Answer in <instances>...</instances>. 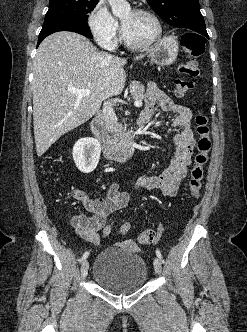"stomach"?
Returning a JSON list of instances; mask_svg holds the SVG:
<instances>
[{
  "instance_id": "0dacf381",
  "label": "stomach",
  "mask_w": 247,
  "mask_h": 332,
  "mask_svg": "<svg viewBox=\"0 0 247 332\" xmlns=\"http://www.w3.org/2000/svg\"><path fill=\"white\" fill-rule=\"evenodd\" d=\"M153 63L160 66L172 64L178 55V41L169 36L157 43L149 53Z\"/></svg>"
}]
</instances>
